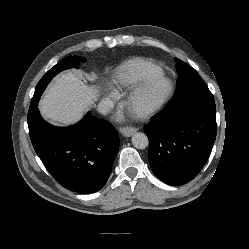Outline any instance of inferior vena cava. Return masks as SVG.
I'll list each match as a JSON object with an SVG mask.
<instances>
[{
    "instance_id": "602c4592",
    "label": "inferior vena cava",
    "mask_w": 249,
    "mask_h": 249,
    "mask_svg": "<svg viewBox=\"0 0 249 249\" xmlns=\"http://www.w3.org/2000/svg\"><path fill=\"white\" fill-rule=\"evenodd\" d=\"M113 108V102L110 100H103L98 104V112L101 114L109 113Z\"/></svg>"
}]
</instances>
